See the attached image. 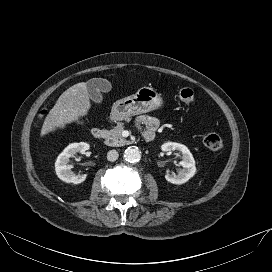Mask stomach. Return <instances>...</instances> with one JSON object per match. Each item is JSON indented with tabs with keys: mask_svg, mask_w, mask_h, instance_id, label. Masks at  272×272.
I'll list each match as a JSON object with an SVG mask.
<instances>
[{
	"mask_svg": "<svg viewBox=\"0 0 272 272\" xmlns=\"http://www.w3.org/2000/svg\"><path fill=\"white\" fill-rule=\"evenodd\" d=\"M163 105L164 100L156 90L141 87L135 94L116 101L111 114L117 120H126L132 116L159 109Z\"/></svg>",
	"mask_w": 272,
	"mask_h": 272,
	"instance_id": "stomach-1",
	"label": "stomach"
}]
</instances>
